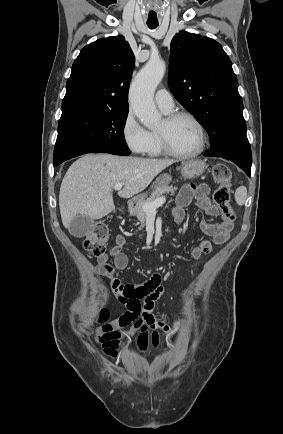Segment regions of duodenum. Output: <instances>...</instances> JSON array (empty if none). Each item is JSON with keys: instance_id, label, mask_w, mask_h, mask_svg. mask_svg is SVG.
Returning a JSON list of instances; mask_svg holds the SVG:
<instances>
[{"instance_id": "duodenum-1", "label": "duodenum", "mask_w": 283, "mask_h": 434, "mask_svg": "<svg viewBox=\"0 0 283 434\" xmlns=\"http://www.w3.org/2000/svg\"><path fill=\"white\" fill-rule=\"evenodd\" d=\"M137 201L136 200H130L127 203V210L131 211L132 209H134L136 207Z\"/></svg>"}]
</instances>
